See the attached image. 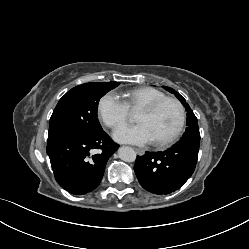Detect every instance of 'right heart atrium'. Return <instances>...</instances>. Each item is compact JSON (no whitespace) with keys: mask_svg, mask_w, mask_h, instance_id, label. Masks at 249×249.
Masks as SVG:
<instances>
[{"mask_svg":"<svg viewBox=\"0 0 249 249\" xmlns=\"http://www.w3.org/2000/svg\"><path fill=\"white\" fill-rule=\"evenodd\" d=\"M97 113L107 127L114 129L126 123L129 109L115 93L108 92L100 98Z\"/></svg>","mask_w":249,"mask_h":249,"instance_id":"obj_1","label":"right heart atrium"}]
</instances>
